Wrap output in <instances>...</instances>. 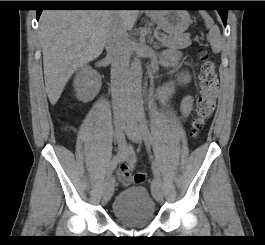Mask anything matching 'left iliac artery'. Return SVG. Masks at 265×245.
Wrapping results in <instances>:
<instances>
[{
	"label": "left iliac artery",
	"instance_id": "obj_1",
	"mask_svg": "<svg viewBox=\"0 0 265 245\" xmlns=\"http://www.w3.org/2000/svg\"><path fill=\"white\" fill-rule=\"evenodd\" d=\"M136 117H137V119L139 121L140 129H141L142 135L144 137L145 143H147L149 146H153L154 145L153 138H152L151 133L149 131V128L147 126V120H146V117H145V112H144V108H143L142 104H139L137 106V115H136ZM152 169H153V173H154L155 179L161 184L162 183L161 175H160L159 167H158V164H157L156 161H154L152 163ZM151 186H152V189H153L154 180L151 182Z\"/></svg>",
	"mask_w": 265,
	"mask_h": 245
}]
</instances>
